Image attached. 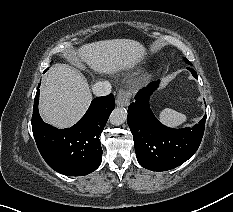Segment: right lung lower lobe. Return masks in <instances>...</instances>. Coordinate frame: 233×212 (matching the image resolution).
<instances>
[{
    "label": "right lung lower lobe",
    "mask_w": 233,
    "mask_h": 212,
    "mask_svg": "<svg viewBox=\"0 0 233 212\" xmlns=\"http://www.w3.org/2000/svg\"><path fill=\"white\" fill-rule=\"evenodd\" d=\"M38 100L39 89L34 100L32 130L46 163L69 176H83L96 170L103 153L99 136L115 108L114 96L95 98L80 121L62 130L43 122L38 112Z\"/></svg>",
    "instance_id": "1"
}]
</instances>
